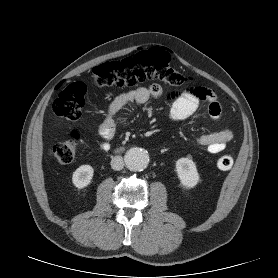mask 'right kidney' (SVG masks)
I'll return each mask as SVG.
<instances>
[{
	"mask_svg": "<svg viewBox=\"0 0 278 278\" xmlns=\"http://www.w3.org/2000/svg\"><path fill=\"white\" fill-rule=\"evenodd\" d=\"M94 169L90 165H81L75 170L72 176V182L75 187L82 189L87 187L93 178Z\"/></svg>",
	"mask_w": 278,
	"mask_h": 278,
	"instance_id": "ca27d5eb",
	"label": "right kidney"
}]
</instances>
